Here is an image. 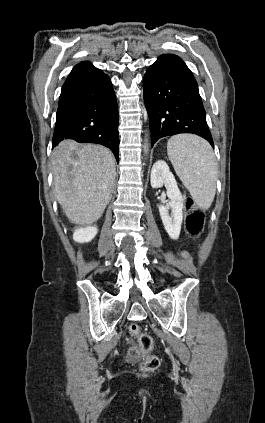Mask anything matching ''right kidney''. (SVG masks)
I'll list each match as a JSON object with an SVG mask.
<instances>
[{
  "label": "right kidney",
  "mask_w": 265,
  "mask_h": 423,
  "mask_svg": "<svg viewBox=\"0 0 265 423\" xmlns=\"http://www.w3.org/2000/svg\"><path fill=\"white\" fill-rule=\"evenodd\" d=\"M98 233L95 226L77 229L73 234V240L79 243L90 242Z\"/></svg>",
  "instance_id": "ca27d5eb"
}]
</instances>
